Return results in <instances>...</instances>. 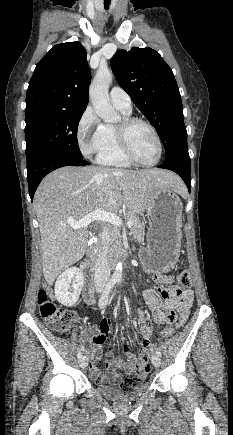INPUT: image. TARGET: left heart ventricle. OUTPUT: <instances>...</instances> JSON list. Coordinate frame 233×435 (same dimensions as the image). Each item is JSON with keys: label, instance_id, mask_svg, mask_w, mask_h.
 <instances>
[{"label": "left heart ventricle", "instance_id": "left-heart-ventricle-1", "mask_svg": "<svg viewBox=\"0 0 233 435\" xmlns=\"http://www.w3.org/2000/svg\"><path fill=\"white\" fill-rule=\"evenodd\" d=\"M128 138L130 146L139 161L152 163L157 159L156 141L148 127L140 123L133 125L129 130Z\"/></svg>", "mask_w": 233, "mask_h": 435}]
</instances>
